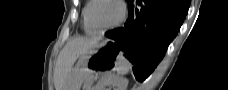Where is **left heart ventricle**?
<instances>
[{
	"label": "left heart ventricle",
	"instance_id": "b2bd125f",
	"mask_svg": "<svg viewBox=\"0 0 228 90\" xmlns=\"http://www.w3.org/2000/svg\"><path fill=\"white\" fill-rule=\"evenodd\" d=\"M120 15L119 6L109 0L98 1L92 12V19L97 28H105L113 24Z\"/></svg>",
	"mask_w": 228,
	"mask_h": 90
}]
</instances>
